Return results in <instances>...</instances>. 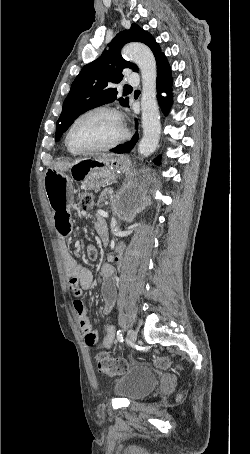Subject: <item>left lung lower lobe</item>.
<instances>
[{
  "label": "left lung lower lobe",
  "mask_w": 250,
  "mask_h": 454,
  "mask_svg": "<svg viewBox=\"0 0 250 454\" xmlns=\"http://www.w3.org/2000/svg\"><path fill=\"white\" fill-rule=\"evenodd\" d=\"M157 97L159 100V105L162 111L167 114L168 109L171 104V74H170V67L166 60V57L163 55L157 62ZM166 91L168 97L164 98L161 96V92ZM136 127L138 126V122H135ZM138 139L137 133L133 136L130 142H126L123 145H118L117 147L113 148L111 151L114 153H124L130 152L133 149L136 141ZM156 164L160 162V156L157 157L154 161Z\"/></svg>",
  "instance_id": "obj_1"
}]
</instances>
